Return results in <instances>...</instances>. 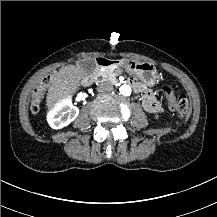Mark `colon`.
Returning a JSON list of instances; mask_svg holds the SVG:
<instances>
[{"label":"colon","mask_w":217,"mask_h":217,"mask_svg":"<svg viewBox=\"0 0 217 217\" xmlns=\"http://www.w3.org/2000/svg\"><path fill=\"white\" fill-rule=\"evenodd\" d=\"M51 85V79L48 76H43L39 81V86L42 88L32 92L29 95L30 112L37 114L40 110V100L43 95V89H47ZM162 95L172 99L171 107L176 111L178 118L181 121H186L190 111V100L187 95L175 96V89L171 84L161 86Z\"/></svg>","instance_id":"colon-1"}]
</instances>
